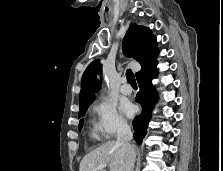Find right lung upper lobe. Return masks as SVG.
Instances as JSON below:
<instances>
[{"label":"right lung upper lobe","instance_id":"obj_1","mask_svg":"<svg viewBox=\"0 0 223 171\" xmlns=\"http://www.w3.org/2000/svg\"><path fill=\"white\" fill-rule=\"evenodd\" d=\"M122 49L127 57H132L141 65V70L136 77L157 63L159 53L156 37L149 28L131 23L125 34ZM102 73V65L99 60L93 61L86 68L82 80L79 98V106L90 105L96 98L101 81L97 76Z\"/></svg>","mask_w":223,"mask_h":171}]
</instances>
